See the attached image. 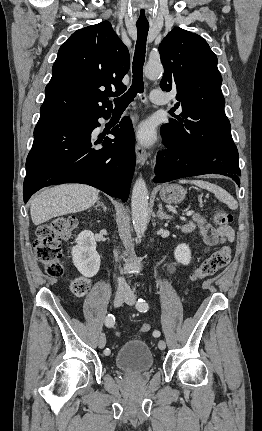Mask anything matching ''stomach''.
<instances>
[{
  "label": "stomach",
  "instance_id": "stomach-1",
  "mask_svg": "<svg viewBox=\"0 0 262 431\" xmlns=\"http://www.w3.org/2000/svg\"><path fill=\"white\" fill-rule=\"evenodd\" d=\"M186 195V190L176 184H167L160 191L161 199L167 203H180Z\"/></svg>",
  "mask_w": 262,
  "mask_h": 431
}]
</instances>
